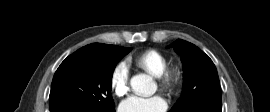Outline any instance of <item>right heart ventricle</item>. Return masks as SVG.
Segmentation results:
<instances>
[{
	"label": "right heart ventricle",
	"instance_id": "e07e8e85",
	"mask_svg": "<svg viewBox=\"0 0 270 112\" xmlns=\"http://www.w3.org/2000/svg\"><path fill=\"white\" fill-rule=\"evenodd\" d=\"M130 62L153 77H158L168 65L167 57L156 49H147L133 57Z\"/></svg>",
	"mask_w": 270,
	"mask_h": 112
}]
</instances>
